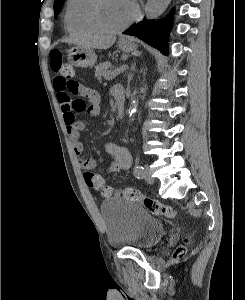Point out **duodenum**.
I'll return each mask as SVG.
<instances>
[{
	"instance_id": "obj_1",
	"label": "duodenum",
	"mask_w": 245,
	"mask_h": 300,
	"mask_svg": "<svg viewBox=\"0 0 245 300\" xmlns=\"http://www.w3.org/2000/svg\"><path fill=\"white\" fill-rule=\"evenodd\" d=\"M115 101H116V108H117V115L119 118L124 117L125 113V98L121 91H117L114 93Z\"/></svg>"
}]
</instances>
